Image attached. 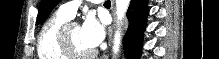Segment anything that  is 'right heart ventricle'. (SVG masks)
Returning a JSON list of instances; mask_svg holds the SVG:
<instances>
[{
    "label": "right heart ventricle",
    "instance_id": "right-heart-ventricle-1",
    "mask_svg": "<svg viewBox=\"0 0 219 59\" xmlns=\"http://www.w3.org/2000/svg\"><path fill=\"white\" fill-rule=\"evenodd\" d=\"M70 20L57 11L43 25L37 40V54L39 59H69L59 46L61 28Z\"/></svg>",
    "mask_w": 219,
    "mask_h": 59
}]
</instances>
